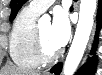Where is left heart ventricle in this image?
Here are the masks:
<instances>
[{
  "label": "left heart ventricle",
  "instance_id": "left-heart-ventricle-1",
  "mask_svg": "<svg viewBox=\"0 0 102 75\" xmlns=\"http://www.w3.org/2000/svg\"><path fill=\"white\" fill-rule=\"evenodd\" d=\"M41 31L42 42L48 53H54L59 48L53 43L51 39V25L49 23L41 24L39 26Z\"/></svg>",
  "mask_w": 102,
  "mask_h": 75
}]
</instances>
